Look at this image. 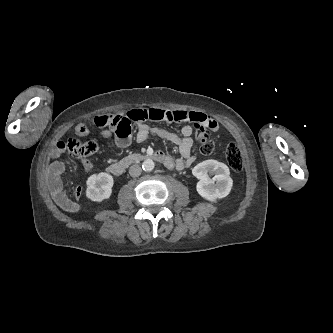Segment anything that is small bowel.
Here are the masks:
<instances>
[{"label":"small bowel","instance_id":"c3829d8e","mask_svg":"<svg viewBox=\"0 0 333 333\" xmlns=\"http://www.w3.org/2000/svg\"><path fill=\"white\" fill-rule=\"evenodd\" d=\"M130 126V132L125 135H119L113 129H106L102 132L104 137L114 135L115 143L118 147L124 148L130 143L132 134L131 127L136 125V140L144 142L151 136L157 135L171 143L178 146L181 158L176 160L169 156L164 164L169 169L182 170L185 167H190L195 158L192 155L193 139L191 138L193 128L191 124H201L211 131H217L219 126L217 122L203 112L189 111V110H176V109H161V108H138L132 109L126 113ZM156 118H159L158 120ZM166 121L169 123H186L180 134H175L167 130L151 127L147 121ZM82 165L85 170L90 171L93 168V163L89 159H84ZM65 169L62 161L55 160L48 168L47 183L51 191L54 201L63 209L72 210L74 208L73 202L68 198L61 181V174ZM74 200H78L81 196L80 187L76 188L73 193Z\"/></svg>","mask_w":333,"mask_h":333}]
</instances>
